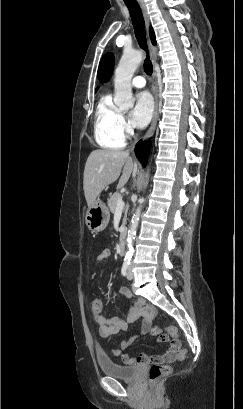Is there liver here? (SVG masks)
<instances>
[{"label": "liver", "mask_w": 243, "mask_h": 409, "mask_svg": "<svg viewBox=\"0 0 243 409\" xmlns=\"http://www.w3.org/2000/svg\"><path fill=\"white\" fill-rule=\"evenodd\" d=\"M122 171L117 189L122 188L130 175L137 172V164L127 151L97 149L87 158L83 189L88 207L91 206L99 194L111 183L115 182Z\"/></svg>", "instance_id": "1"}]
</instances>
